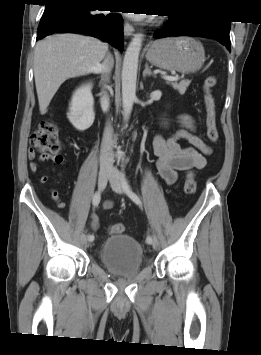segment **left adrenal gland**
Here are the masks:
<instances>
[{
	"instance_id": "obj_1",
	"label": "left adrenal gland",
	"mask_w": 261,
	"mask_h": 355,
	"mask_svg": "<svg viewBox=\"0 0 261 355\" xmlns=\"http://www.w3.org/2000/svg\"><path fill=\"white\" fill-rule=\"evenodd\" d=\"M151 75H155L148 67V63L145 64V69L143 71V77L145 78L146 76H151Z\"/></svg>"
}]
</instances>
